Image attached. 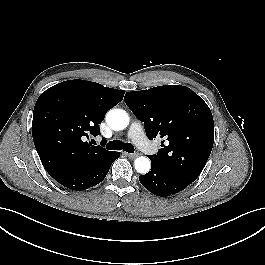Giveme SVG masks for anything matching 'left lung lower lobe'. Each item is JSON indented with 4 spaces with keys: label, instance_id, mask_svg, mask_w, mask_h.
I'll use <instances>...</instances> for the list:
<instances>
[{
    "label": "left lung lower lobe",
    "instance_id": "obj_1",
    "mask_svg": "<svg viewBox=\"0 0 265 265\" xmlns=\"http://www.w3.org/2000/svg\"><path fill=\"white\" fill-rule=\"evenodd\" d=\"M139 180L151 193L161 197L178 193L193 182L154 163L151 171L139 176Z\"/></svg>",
    "mask_w": 265,
    "mask_h": 265
}]
</instances>
